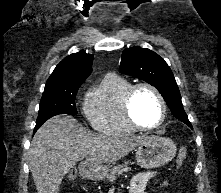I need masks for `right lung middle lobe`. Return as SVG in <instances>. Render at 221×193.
<instances>
[{
	"label": "right lung middle lobe",
	"instance_id": "1",
	"mask_svg": "<svg viewBox=\"0 0 221 193\" xmlns=\"http://www.w3.org/2000/svg\"><path fill=\"white\" fill-rule=\"evenodd\" d=\"M80 86L45 89L40 101L36 125L58 114H77L75 97Z\"/></svg>",
	"mask_w": 221,
	"mask_h": 193
}]
</instances>
